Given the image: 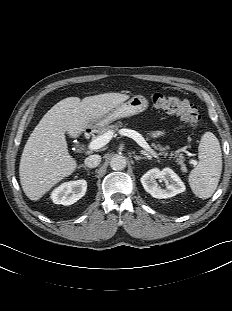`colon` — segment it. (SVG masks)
Here are the masks:
<instances>
[{
	"label": "colon",
	"mask_w": 232,
	"mask_h": 311,
	"mask_svg": "<svg viewBox=\"0 0 232 311\" xmlns=\"http://www.w3.org/2000/svg\"><path fill=\"white\" fill-rule=\"evenodd\" d=\"M153 105L170 114L178 115L181 120L191 126H195L200 121L198 107L188 101L177 97L168 96L162 93H155L152 96Z\"/></svg>",
	"instance_id": "1"
}]
</instances>
